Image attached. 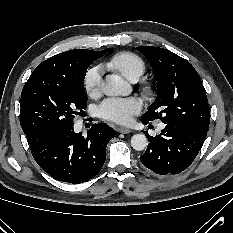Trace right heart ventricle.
<instances>
[{"mask_svg": "<svg viewBox=\"0 0 233 233\" xmlns=\"http://www.w3.org/2000/svg\"><path fill=\"white\" fill-rule=\"evenodd\" d=\"M106 66L130 80L137 79L145 71L144 61L138 55L129 51L113 55Z\"/></svg>", "mask_w": 233, "mask_h": 233, "instance_id": "obj_1", "label": "right heart ventricle"}]
</instances>
